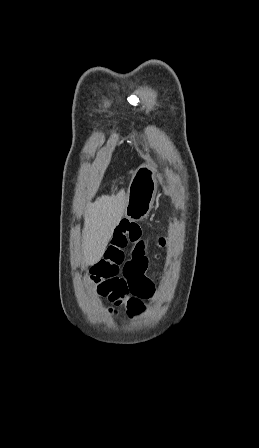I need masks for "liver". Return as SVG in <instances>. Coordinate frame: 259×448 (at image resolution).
Wrapping results in <instances>:
<instances>
[{"label":"liver","mask_w":259,"mask_h":448,"mask_svg":"<svg viewBox=\"0 0 259 448\" xmlns=\"http://www.w3.org/2000/svg\"><path fill=\"white\" fill-rule=\"evenodd\" d=\"M125 190L116 196H101L86 208L82 250L84 262L93 266L101 260L126 208Z\"/></svg>","instance_id":"6515ba94"}]
</instances>
